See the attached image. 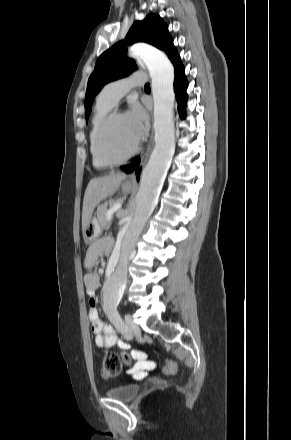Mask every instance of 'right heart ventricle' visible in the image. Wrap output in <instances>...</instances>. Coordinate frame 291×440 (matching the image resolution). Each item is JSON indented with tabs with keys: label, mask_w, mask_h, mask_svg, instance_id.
Returning <instances> with one entry per match:
<instances>
[{
	"label": "right heart ventricle",
	"mask_w": 291,
	"mask_h": 440,
	"mask_svg": "<svg viewBox=\"0 0 291 440\" xmlns=\"http://www.w3.org/2000/svg\"><path fill=\"white\" fill-rule=\"evenodd\" d=\"M111 108L112 106L107 105L106 103L101 101L99 97H97L94 113L91 119V129L89 133V146H90L92 161H93V165L97 168H106L111 166V164L104 162L98 156L97 146H96V133L98 126L103 120V118L110 112Z\"/></svg>",
	"instance_id": "right-heart-ventricle-1"
}]
</instances>
